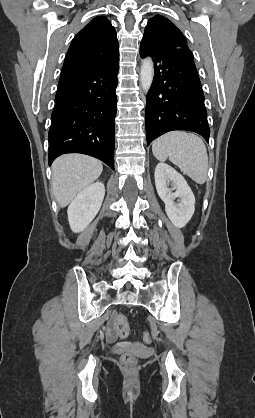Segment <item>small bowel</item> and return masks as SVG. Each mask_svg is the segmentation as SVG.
Returning <instances> with one entry per match:
<instances>
[{"instance_id": "1", "label": "small bowel", "mask_w": 255, "mask_h": 418, "mask_svg": "<svg viewBox=\"0 0 255 418\" xmlns=\"http://www.w3.org/2000/svg\"><path fill=\"white\" fill-rule=\"evenodd\" d=\"M117 337V331L115 329V326L113 323H110L108 328H107V338L110 341H114Z\"/></svg>"}]
</instances>
